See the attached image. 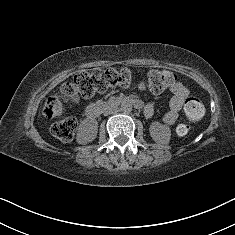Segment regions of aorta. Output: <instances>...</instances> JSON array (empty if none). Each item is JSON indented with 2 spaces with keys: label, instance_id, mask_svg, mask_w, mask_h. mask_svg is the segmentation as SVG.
I'll use <instances>...</instances> for the list:
<instances>
[{
  "label": "aorta",
  "instance_id": "obj_1",
  "mask_svg": "<svg viewBox=\"0 0 235 235\" xmlns=\"http://www.w3.org/2000/svg\"><path fill=\"white\" fill-rule=\"evenodd\" d=\"M121 110L124 112V113H129L132 111V105L131 104H128V103H123L121 105Z\"/></svg>",
  "mask_w": 235,
  "mask_h": 235
}]
</instances>
